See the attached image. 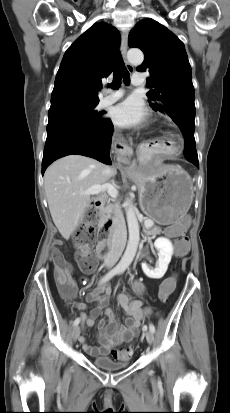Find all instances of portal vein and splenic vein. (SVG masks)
I'll return each mask as SVG.
<instances>
[{
    "label": "portal vein and splenic vein",
    "mask_w": 230,
    "mask_h": 413,
    "mask_svg": "<svg viewBox=\"0 0 230 413\" xmlns=\"http://www.w3.org/2000/svg\"><path fill=\"white\" fill-rule=\"evenodd\" d=\"M107 192L112 198H117L118 190L112 184H97L86 191L81 192L83 195H98L100 193ZM146 223V222H145Z\"/></svg>",
    "instance_id": "portal-vein-and-splenic-vein-1"
}]
</instances>
